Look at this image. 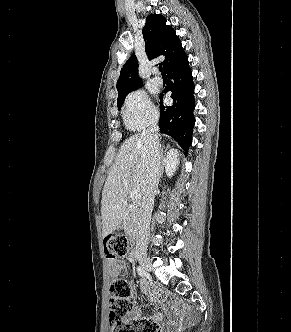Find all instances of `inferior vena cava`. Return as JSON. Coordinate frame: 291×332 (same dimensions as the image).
I'll use <instances>...</instances> for the list:
<instances>
[{"label":"inferior vena cava","instance_id":"inferior-vena-cava-1","mask_svg":"<svg viewBox=\"0 0 291 332\" xmlns=\"http://www.w3.org/2000/svg\"><path fill=\"white\" fill-rule=\"evenodd\" d=\"M159 127L157 119L147 130L143 131L142 138L147 145L146 150V173L142 189V204L138 211L136 253L146 254L147 240L149 234L151 213L154 204L155 191L158 188L162 172V161L160 156V144L157 136Z\"/></svg>","mask_w":291,"mask_h":332}]
</instances>
